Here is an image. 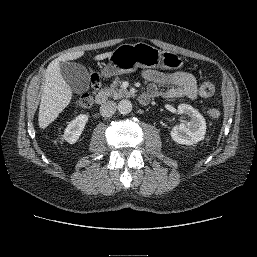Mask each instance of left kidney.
<instances>
[{"label":"left kidney","mask_w":257,"mask_h":257,"mask_svg":"<svg viewBox=\"0 0 257 257\" xmlns=\"http://www.w3.org/2000/svg\"><path fill=\"white\" fill-rule=\"evenodd\" d=\"M177 111L179 114H185L189 121L173 127L171 138L183 145H194L203 140L206 133L204 117L188 104H180Z\"/></svg>","instance_id":"obj_1"}]
</instances>
